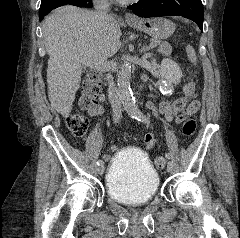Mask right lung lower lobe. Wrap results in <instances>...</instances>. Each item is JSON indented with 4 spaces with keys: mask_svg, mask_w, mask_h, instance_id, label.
Segmentation results:
<instances>
[{
    "mask_svg": "<svg viewBox=\"0 0 240 238\" xmlns=\"http://www.w3.org/2000/svg\"><path fill=\"white\" fill-rule=\"evenodd\" d=\"M90 0H68V2H64V1H59L58 3H56L55 5H53L47 12H45L44 14H39V19L42 20L44 18V16H46L49 12H51L53 9L63 6L65 4H70V5H74V6H78V7H92L91 4H87Z\"/></svg>",
    "mask_w": 240,
    "mask_h": 238,
    "instance_id": "1",
    "label": "right lung lower lobe"
}]
</instances>
